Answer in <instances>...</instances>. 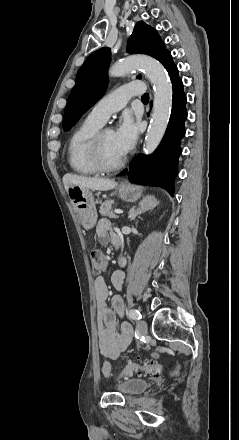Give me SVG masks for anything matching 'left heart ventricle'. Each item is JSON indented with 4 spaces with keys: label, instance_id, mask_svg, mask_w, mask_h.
Returning <instances> with one entry per match:
<instances>
[{
    "label": "left heart ventricle",
    "instance_id": "1",
    "mask_svg": "<svg viewBox=\"0 0 239 440\" xmlns=\"http://www.w3.org/2000/svg\"><path fill=\"white\" fill-rule=\"evenodd\" d=\"M101 144L103 156L108 164L115 163L116 160L123 155L117 146L112 130L105 131Z\"/></svg>",
    "mask_w": 239,
    "mask_h": 440
}]
</instances>
